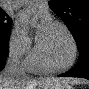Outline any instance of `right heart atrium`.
Listing matches in <instances>:
<instances>
[{"label": "right heart atrium", "mask_w": 89, "mask_h": 89, "mask_svg": "<svg viewBox=\"0 0 89 89\" xmlns=\"http://www.w3.org/2000/svg\"><path fill=\"white\" fill-rule=\"evenodd\" d=\"M9 50L12 55L18 58H26L34 52L32 38L17 23L10 34Z\"/></svg>", "instance_id": "1"}]
</instances>
